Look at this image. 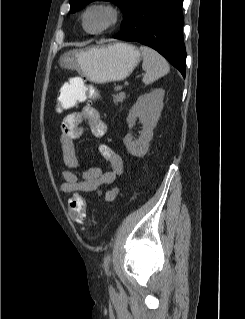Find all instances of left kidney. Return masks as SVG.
<instances>
[{"instance_id":"1","label":"left kidney","mask_w":245,"mask_h":319,"mask_svg":"<svg viewBox=\"0 0 245 319\" xmlns=\"http://www.w3.org/2000/svg\"><path fill=\"white\" fill-rule=\"evenodd\" d=\"M164 94L163 89H154L150 93L139 96L130 109L127 117L129 127L132 128L135 125L137 118L143 124L138 139H135L132 134H128L123 140L131 155L142 157L147 153L149 142L153 138V130L163 109Z\"/></svg>"}]
</instances>
